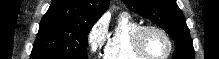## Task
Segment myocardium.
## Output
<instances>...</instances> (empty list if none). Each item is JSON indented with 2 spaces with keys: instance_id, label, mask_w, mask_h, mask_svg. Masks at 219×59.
<instances>
[{
  "instance_id": "f54148a6",
  "label": "myocardium",
  "mask_w": 219,
  "mask_h": 59,
  "mask_svg": "<svg viewBox=\"0 0 219 59\" xmlns=\"http://www.w3.org/2000/svg\"><path fill=\"white\" fill-rule=\"evenodd\" d=\"M149 30H154L159 32L161 35L164 36V38L168 42V51L167 53L162 57H152L146 53V51L143 48L142 39L145 32ZM173 40L171 36L165 31L163 28L153 25V24H146V25H140L134 32L132 36V49L133 51L143 59H167L170 57L173 51Z\"/></svg>"
}]
</instances>
